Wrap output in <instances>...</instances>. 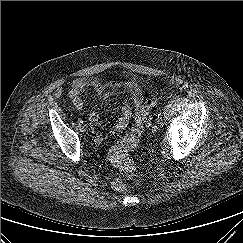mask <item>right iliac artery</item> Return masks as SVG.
<instances>
[{
	"label": "right iliac artery",
	"mask_w": 243,
	"mask_h": 243,
	"mask_svg": "<svg viewBox=\"0 0 243 243\" xmlns=\"http://www.w3.org/2000/svg\"><path fill=\"white\" fill-rule=\"evenodd\" d=\"M78 123L79 124H82L83 123V120L81 118L78 119Z\"/></svg>",
	"instance_id": "1"
}]
</instances>
